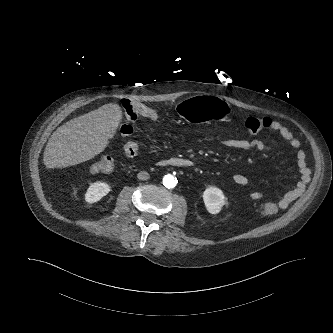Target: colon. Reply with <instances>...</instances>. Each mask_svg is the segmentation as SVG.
<instances>
[{
	"mask_svg": "<svg viewBox=\"0 0 333 333\" xmlns=\"http://www.w3.org/2000/svg\"><path fill=\"white\" fill-rule=\"evenodd\" d=\"M124 109V122L121 126V132L125 136H129L134 132V123L139 116H144L151 120H157L159 113L148 106L138 102H123ZM272 120L268 117H249L243 126L252 134H258L271 126ZM114 159L110 156H102L92 163L91 171L94 173H109L114 169ZM278 211V205L274 202L268 201L261 205L260 212L264 215H274Z\"/></svg>",
	"mask_w": 333,
	"mask_h": 333,
	"instance_id": "1",
	"label": "colon"
}]
</instances>
